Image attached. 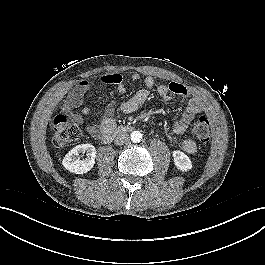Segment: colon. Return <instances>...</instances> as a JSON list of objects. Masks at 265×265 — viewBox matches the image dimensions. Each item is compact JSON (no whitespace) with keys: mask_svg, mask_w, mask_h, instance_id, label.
Segmentation results:
<instances>
[{"mask_svg":"<svg viewBox=\"0 0 265 265\" xmlns=\"http://www.w3.org/2000/svg\"><path fill=\"white\" fill-rule=\"evenodd\" d=\"M53 142L58 147L66 146L79 139L81 130L66 115L59 114L54 119ZM191 132L201 142L206 143L210 136V122L206 116H198L191 124Z\"/></svg>","mask_w":265,"mask_h":265,"instance_id":"5ec220e1","label":"colon"}]
</instances>
